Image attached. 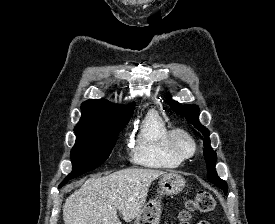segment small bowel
I'll return each mask as SVG.
<instances>
[{"mask_svg": "<svg viewBox=\"0 0 275 224\" xmlns=\"http://www.w3.org/2000/svg\"><path fill=\"white\" fill-rule=\"evenodd\" d=\"M198 224H210L208 221L202 220Z\"/></svg>", "mask_w": 275, "mask_h": 224, "instance_id": "small-bowel-1", "label": "small bowel"}]
</instances>
